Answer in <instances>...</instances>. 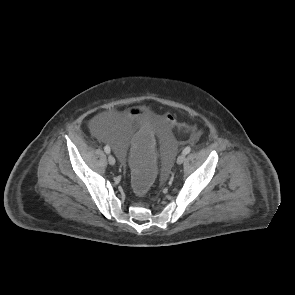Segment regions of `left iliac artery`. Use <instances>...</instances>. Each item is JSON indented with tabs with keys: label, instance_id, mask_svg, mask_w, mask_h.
<instances>
[{
	"label": "left iliac artery",
	"instance_id": "left-iliac-artery-1",
	"mask_svg": "<svg viewBox=\"0 0 295 295\" xmlns=\"http://www.w3.org/2000/svg\"><path fill=\"white\" fill-rule=\"evenodd\" d=\"M190 151H191V148L189 147V146H187L184 150H183V154H188V153H190Z\"/></svg>",
	"mask_w": 295,
	"mask_h": 295
}]
</instances>
